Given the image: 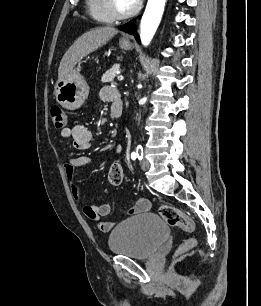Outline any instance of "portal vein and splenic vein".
<instances>
[{
	"label": "portal vein and splenic vein",
	"instance_id": "obj_1",
	"mask_svg": "<svg viewBox=\"0 0 261 306\" xmlns=\"http://www.w3.org/2000/svg\"><path fill=\"white\" fill-rule=\"evenodd\" d=\"M117 79H118V81H122V80L124 79V77H123L122 75H119V76L117 77Z\"/></svg>",
	"mask_w": 261,
	"mask_h": 306
}]
</instances>
